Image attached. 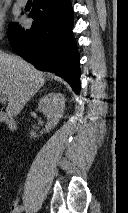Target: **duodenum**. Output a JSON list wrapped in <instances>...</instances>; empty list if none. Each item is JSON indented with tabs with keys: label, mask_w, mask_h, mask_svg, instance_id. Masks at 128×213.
Segmentation results:
<instances>
[{
	"label": "duodenum",
	"mask_w": 128,
	"mask_h": 213,
	"mask_svg": "<svg viewBox=\"0 0 128 213\" xmlns=\"http://www.w3.org/2000/svg\"><path fill=\"white\" fill-rule=\"evenodd\" d=\"M0 122L5 123L6 126L12 131H14L17 128V124L14 118L6 115L3 112H0Z\"/></svg>",
	"instance_id": "obj_1"
}]
</instances>
